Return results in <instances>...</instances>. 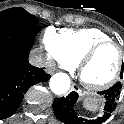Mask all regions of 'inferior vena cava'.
I'll return each mask as SVG.
<instances>
[{
    "label": "inferior vena cava",
    "instance_id": "obj_1",
    "mask_svg": "<svg viewBox=\"0 0 124 124\" xmlns=\"http://www.w3.org/2000/svg\"><path fill=\"white\" fill-rule=\"evenodd\" d=\"M29 62L33 66L42 67L44 65L43 56L38 52H33L29 57Z\"/></svg>",
    "mask_w": 124,
    "mask_h": 124
}]
</instances>
